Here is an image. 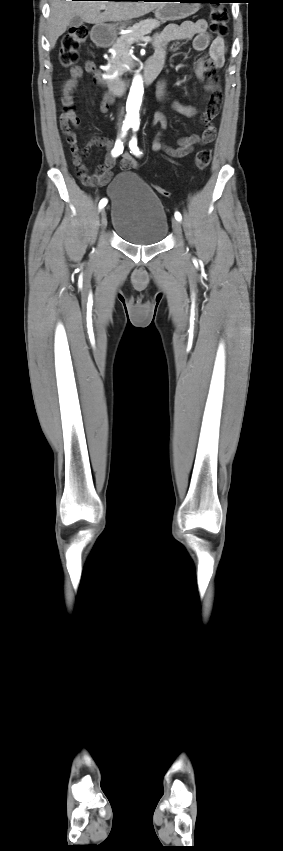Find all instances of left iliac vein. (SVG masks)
Segmentation results:
<instances>
[{
    "label": "left iliac vein",
    "instance_id": "1",
    "mask_svg": "<svg viewBox=\"0 0 283 851\" xmlns=\"http://www.w3.org/2000/svg\"><path fill=\"white\" fill-rule=\"evenodd\" d=\"M172 228L177 236L181 235V225L177 219H172Z\"/></svg>",
    "mask_w": 283,
    "mask_h": 851
}]
</instances>
